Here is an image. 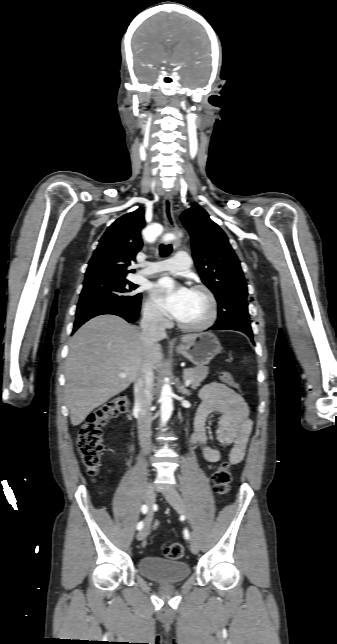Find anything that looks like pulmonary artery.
<instances>
[{"label":"pulmonary artery","mask_w":337,"mask_h":644,"mask_svg":"<svg viewBox=\"0 0 337 644\" xmlns=\"http://www.w3.org/2000/svg\"><path fill=\"white\" fill-rule=\"evenodd\" d=\"M190 266V256L185 252H178L174 257L168 260L151 263L145 270L140 271V274H156L162 271L180 273L189 269Z\"/></svg>","instance_id":"pulmonary-artery-1"}]
</instances>
